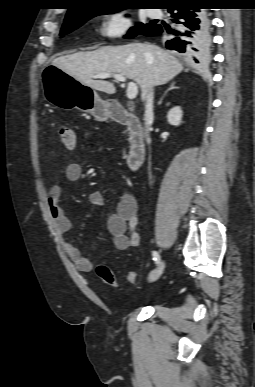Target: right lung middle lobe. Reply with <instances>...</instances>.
Instances as JSON below:
<instances>
[{
    "label": "right lung middle lobe",
    "mask_w": 255,
    "mask_h": 387,
    "mask_svg": "<svg viewBox=\"0 0 255 387\" xmlns=\"http://www.w3.org/2000/svg\"><path fill=\"white\" fill-rule=\"evenodd\" d=\"M116 10H122V8H117V9H113V10L89 11V12H86V13L81 14V15L76 16V17L65 18L60 35L67 34V33L71 32V31L77 29L82 24H84L85 21L89 20L92 17H95L97 15H101V14L107 13L109 11H116ZM153 25L154 24L137 23V26L136 27H132L125 37L132 38V37H134V36H136L138 34H142V31L145 28L151 27Z\"/></svg>",
    "instance_id": "right-lung-middle-lobe-1"
}]
</instances>
